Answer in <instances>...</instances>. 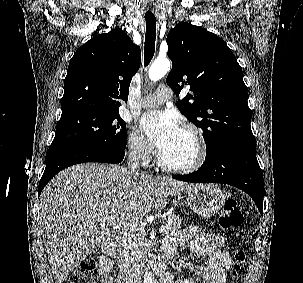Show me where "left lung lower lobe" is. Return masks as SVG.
I'll list each match as a JSON object with an SVG mask.
<instances>
[{
  "instance_id": "left-lung-lower-lobe-1",
  "label": "left lung lower lobe",
  "mask_w": 303,
  "mask_h": 283,
  "mask_svg": "<svg viewBox=\"0 0 303 283\" xmlns=\"http://www.w3.org/2000/svg\"><path fill=\"white\" fill-rule=\"evenodd\" d=\"M174 179L192 182H212L235 186L254 200L263 215V173L256 158L255 139L232 140L209 157L198 171L174 175Z\"/></svg>"
}]
</instances>
